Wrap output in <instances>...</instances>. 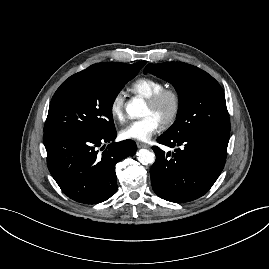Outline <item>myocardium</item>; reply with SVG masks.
Here are the masks:
<instances>
[{
  "label": "myocardium",
  "instance_id": "f54148a6",
  "mask_svg": "<svg viewBox=\"0 0 269 269\" xmlns=\"http://www.w3.org/2000/svg\"><path fill=\"white\" fill-rule=\"evenodd\" d=\"M166 99L171 101V110L161 122L165 128L173 125L180 114L182 97L179 90L173 87H163L146 99V103L152 108L159 107Z\"/></svg>",
  "mask_w": 269,
  "mask_h": 269
}]
</instances>
